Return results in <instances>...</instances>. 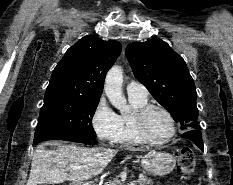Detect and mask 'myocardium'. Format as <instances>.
Segmentation results:
<instances>
[{
	"label": "myocardium",
	"instance_id": "f54148a6",
	"mask_svg": "<svg viewBox=\"0 0 233 185\" xmlns=\"http://www.w3.org/2000/svg\"><path fill=\"white\" fill-rule=\"evenodd\" d=\"M154 109L160 110L164 114H166L170 120V123H171L170 134L161 140H154V139L150 138L147 131H146V125H145L146 117L149 114V112L154 110ZM134 125H135V129H136V132H137V135L139 136V138L144 143H147L149 145H162V144L169 142L175 136L176 130H177L176 121H175V118L172 115V113L162 105L151 104V103L144 105L143 107L139 108L135 112Z\"/></svg>",
	"mask_w": 233,
	"mask_h": 185
}]
</instances>
